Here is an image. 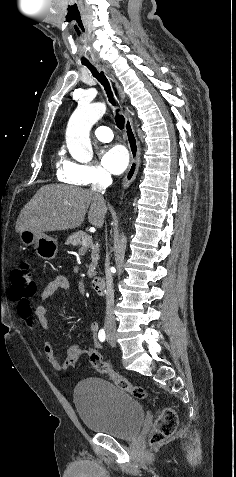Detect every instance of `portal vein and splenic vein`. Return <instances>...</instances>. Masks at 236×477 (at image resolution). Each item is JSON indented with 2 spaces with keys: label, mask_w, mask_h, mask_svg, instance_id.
I'll use <instances>...</instances> for the list:
<instances>
[{
  "label": "portal vein and splenic vein",
  "mask_w": 236,
  "mask_h": 477,
  "mask_svg": "<svg viewBox=\"0 0 236 477\" xmlns=\"http://www.w3.org/2000/svg\"><path fill=\"white\" fill-rule=\"evenodd\" d=\"M89 243H90V239H87V238H86V239H83V241H82V246L85 247V246H87Z\"/></svg>",
  "instance_id": "1"
}]
</instances>
